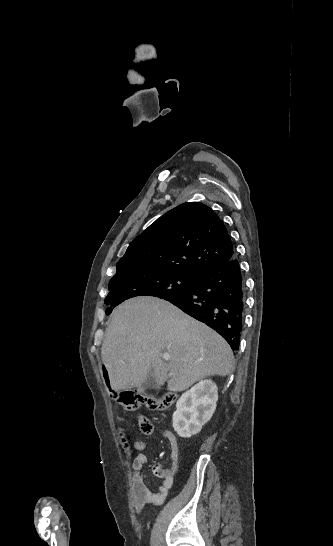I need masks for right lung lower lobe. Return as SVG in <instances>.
<instances>
[{"label":"right lung lower lobe","mask_w":333,"mask_h":546,"mask_svg":"<svg viewBox=\"0 0 333 546\" xmlns=\"http://www.w3.org/2000/svg\"><path fill=\"white\" fill-rule=\"evenodd\" d=\"M217 331L234 352L244 322L245 285L236 256L210 268L189 291L163 298Z\"/></svg>","instance_id":"obj_1"}]
</instances>
